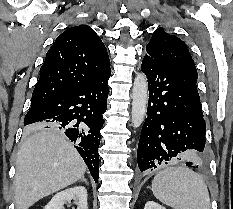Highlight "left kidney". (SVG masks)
I'll use <instances>...</instances> for the list:
<instances>
[{
    "label": "left kidney",
    "instance_id": "left-kidney-1",
    "mask_svg": "<svg viewBox=\"0 0 233 209\" xmlns=\"http://www.w3.org/2000/svg\"><path fill=\"white\" fill-rule=\"evenodd\" d=\"M144 209H166L165 207L161 206L160 204L153 202V201H148L145 204Z\"/></svg>",
    "mask_w": 233,
    "mask_h": 209
}]
</instances>
